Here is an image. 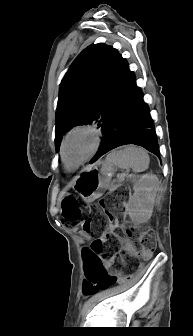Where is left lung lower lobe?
<instances>
[{"label": "left lung lower lobe", "mask_w": 193, "mask_h": 336, "mask_svg": "<svg viewBox=\"0 0 193 336\" xmlns=\"http://www.w3.org/2000/svg\"><path fill=\"white\" fill-rule=\"evenodd\" d=\"M101 130L104 138L91 162L126 144L142 146L160 156L153 120L143 100V94L136 85L135 76L129 68Z\"/></svg>", "instance_id": "left-lung-lower-lobe-1"}]
</instances>
